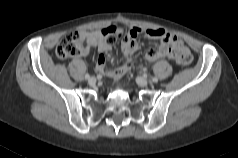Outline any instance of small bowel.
Listing matches in <instances>:
<instances>
[{
	"instance_id": "obj_1",
	"label": "small bowel",
	"mask_w": 238,
	"mask_h": 158,
	"mask_svg": "<svg viewBox=\"0 0 238 158\" xmlns=\"http://www.w3.org/2000/svg\"><path fill=\"white\" fill-rule=\"evenodd\" d=\"M145 33L149 38L156 39L159 41L157 49H149L145 54V58L148 61H156L165 57L175 58L174 52L181 51L188 54L189 50L178 37L171 34L167 30L161 28H149L143 30L139 27L131 28L122 40V53H123V63L114 68L108 69L106 67L107 56L110 53L112 47L102 40L101 31H83L81 33L87 48L86 53H88L89 48H97L98 59L96 63V70L99 73H104L108 77L116 80L121 78L130 69L131 57L139 49L138 36L140 33Z\"/></svg>"
}]
</instances>
